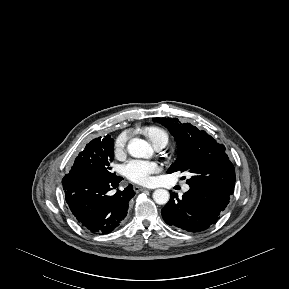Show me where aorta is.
Instances as JSON below:
<instances>
[{
    "mask_svg": "<svg viewBox=\"0 0 289 289\" xmlns=\"http://www.w3.org/2000/svg\"><path fill=\"white\" fill-rule=\"evenodd\" d=\"M129 154L135 158H150L152 148L148 142L142 139L134 138L127 145ZM169 192L165 189H157L153 193V200L160 205L169 201Z\"/></svg>",
    "mask_w": 289,
    "mask_h": 289,
    "instance_id": "aorta-1",
    "label": "aorta"
}]
</instances>
